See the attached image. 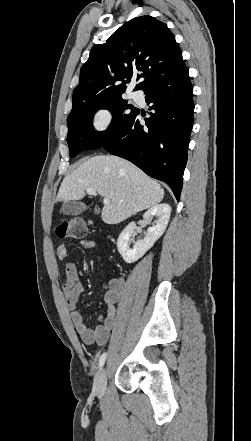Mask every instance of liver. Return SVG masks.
<instances>
[{
  "label": "liver",
  "instance_id": "obj_1",
  "mask_svg": "<svg viewBox=\"0 0 251 441\" xmlns=\"http://www.w3.org/2000/svg\"><path fill=\"white\" fill-rule=\"evenodd\" d=\"M94 188L108 198L101 218L118 224L162 201L164 189L131 162L117 156L98 155L85 160L62 181L57 201L80 200Z\"/></svg>",
  "mask_w": 251,
  "mask_h": 441
}]
</instances>
